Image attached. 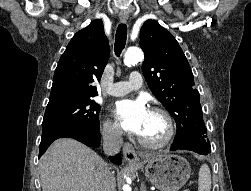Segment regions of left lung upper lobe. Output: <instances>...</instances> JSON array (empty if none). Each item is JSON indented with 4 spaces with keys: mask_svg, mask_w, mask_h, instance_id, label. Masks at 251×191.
Returning <instances> with one entry per match:
<instances>
[{
    "mask_svg": "<svg viewBox=\"0 0 251 191\" xmlns=\"http://www.w3.org/2000/svg\"><path fill=\"white\" fill-rule=\"evenodd\" d=\"M140 46L145 53L142 71L148 86L176 121L174 141L189 136L207 139L193 73L174 36L157 21L147 20L140 30Z\"/></svg>",
    "mask_w": 251,
    "mask_h": 191,
    "instance_id": "1",
    "label": "left lung upper lobe"
}]
</instances>
